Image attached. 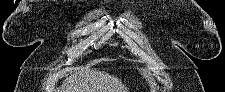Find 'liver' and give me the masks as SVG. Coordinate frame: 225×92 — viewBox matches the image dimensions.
<instances>
[{"label":"liver","instance_id":"obj_1","mask_svg":"<svg viewBox=\"0 0 225 92\" xmlns=\"http://www.w3.org/2000/svg\"><path fill=\"white\" fill-rule=\"evenodd\" d=\"M63 92H128L117 77L104 71H74L63 82Z\"/></svg>","mask_w":225,"mask_h":92}]
</instances>
